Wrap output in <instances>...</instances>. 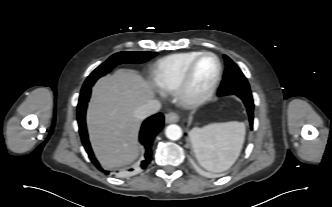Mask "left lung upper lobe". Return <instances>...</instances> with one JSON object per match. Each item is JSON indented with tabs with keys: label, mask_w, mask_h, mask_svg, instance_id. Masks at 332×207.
Masks as SVG:
<instances>
[{
	"label": "left lung upper lobe",
	"mask_w": 332,
	"mask_h": 207,
	"mask_svg": "<svg viewBox=\"0 0 332 207\" xmlns=\"http://www.w3.org/2000/svg\"><path fill=\"white\" fill-rule=\"evenodd\" d=\"M224 59L226 69L218 93L222 95L251 94L249 83L239 67L228 56L224 55Z\"/></svg>",
	"instance_id": "1"
}]
</instances>
